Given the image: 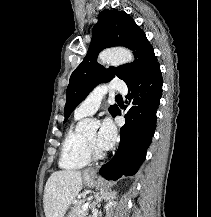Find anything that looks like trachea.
Here are the masks:
<instances>
[{"label":"trachea","instance_id":"3493384b","mask_svg":"<svg viewBox=\"0 0 211 217\" xmlns=\"http://www.w3.org/2000/svg\"><path fill=\"white\" fill-rule=\"evenodd\" d=\"M116 97H117V98H121V95H117Z\"/></svg>","mask_w":211,"mask_h":217}]
</instances>
